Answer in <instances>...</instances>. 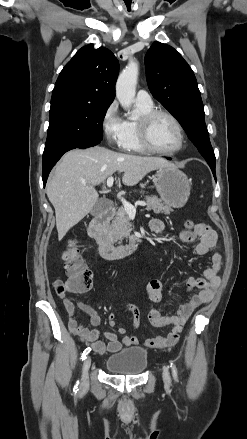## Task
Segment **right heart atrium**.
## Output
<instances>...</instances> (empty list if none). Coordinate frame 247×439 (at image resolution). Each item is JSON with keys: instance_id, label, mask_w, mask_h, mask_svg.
<instances>
[{"instance_id": "d8ad5b80", "label": "right heart atrium", "mask_w": 247, "mask_h": 439, "mask_svg": "<svg viewBox=\"0 0 247 439\" xmlns=\"http://www.w3.org/2000/svg\"><path fill=\"white\" fill-rule=\"evenodd\" d=\"M101 129L107 143L113 147H120L124 132V120L119 114L116 101L111 102L104 110L101 117Z\"/></svg>"}]
</instances>
